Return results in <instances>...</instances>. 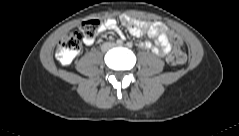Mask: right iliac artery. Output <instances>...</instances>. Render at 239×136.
Segmentation results:
<instances>
[{
  "instance_id": "right-iliac-artery-1",
  "label": "right iliac artery",
  "mask_w": 239,
  "mask_h": 136,
  "mask_svg": "<svg viewBox=\"0 0 239 136\" xmlns=\"http://www.w3.org/2000/svg\"><path fill=\"white\" fill-rule=\"evenodd\" d=\"M118 45H122L123 44V41L122 40H117L116 42Z\"/></svg>"
}]
</instances>
